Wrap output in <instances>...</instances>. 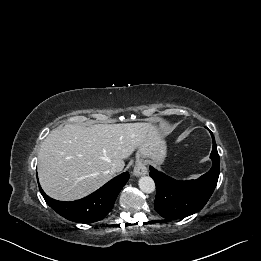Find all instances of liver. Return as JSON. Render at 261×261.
<instances>
[{
    "label": "liver",
    "instance_id": "6515ba94",
    "mask_svg": "<svg viewBox=\"0 0 261 261\" xmlns=\"http://www.w3.org/2000/svg\"><path fill=\"white\" fill-rule=\"evenodd\" d=\"M153 130L150 123L67 124L54 129L38 154V177L45 193L56 200L73 201L94 192L124 168V159L139 148Z\"/></svg>",
    "mask_w": 261,
    "mask_h": 261
}]
</instances>
